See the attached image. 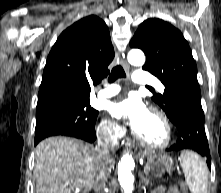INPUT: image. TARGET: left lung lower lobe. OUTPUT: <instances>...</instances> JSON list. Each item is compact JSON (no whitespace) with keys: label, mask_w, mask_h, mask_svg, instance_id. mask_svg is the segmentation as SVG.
Returning a JSON list of instances; mask_svg holds the SVG:
<instances>
[{"label":"left lung lower lobe","mask_w":221,"mask_h":193,"mask_svg":"<svg viewBox=\"0 0 221 193\" xmlns=\"http://www.w3.org/2000/svg\"><path fill=\"white\" fill-rule=\"evenodd\" d=\"M178 120L175 125L179 131L177 142L169 150H192L207 159L211 168L208 140L205 133V116L201 106V97L191 95L181 100L177 107Z\"/></svg>","instance_id":"1"}]
</instances>
